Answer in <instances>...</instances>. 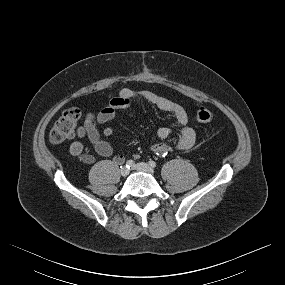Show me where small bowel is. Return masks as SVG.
<instances>
[{
  "label": "small bowel",
  "mask_w": 285,
  "mask_h": 285,
  "mask_svg": "<svg viewBox=\"0 0 285 285\" xmlns=\"http://www.w3.org/2000/svg\"><path fill=\"white\" fill-rule=\"evenodd\" d=\"M145 100L158 109L172 115L180 127V135L176 141L175 148L179 151H187L191 149L196 140L195 130L189 124V116L187 111L178 103L171 101L163 96H160L149 90H132L124 88L118 94L111 98L109 103L98 113H88L82 126L76 130V139L70 144V153L85 164H92L96 158L84 151V146L81 139L88 138L93 145L95 151L103 157H110L113 153L111 145L101 138V133L98 130V124H106L115 118L117 110L126 109L131 106L132 101ZM113 134V129L106 126L103 129V135L110 137ZM172 135V129L161 127L157 130V137L165 140ZM172 147L160 142L152 146V151L160 156L168 154ZM113 161L117 164L124 162L122 155H116Z\"/></svg>",
  "instance_id": "1"
}]
</instances>
